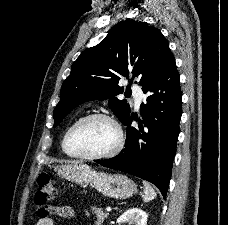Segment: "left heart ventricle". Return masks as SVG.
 <instances>
[{"label":"left heart ventricle","mask_w":228,"mask_h":225,"mask_svg":"<svg viewBox=\"0 0 228 225\" xmlns=\"http://www.w3.org/2000/svg\"><path fill=\"white\" fill-rule=\"evenodd\" d=\"M116 144V133L102 119H88L79 124L70 134L68 150L74 154L98 155L109 151Z\"/></svg>","instance_id":"1"}]
</instances>
